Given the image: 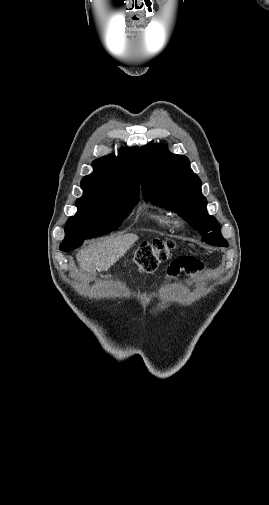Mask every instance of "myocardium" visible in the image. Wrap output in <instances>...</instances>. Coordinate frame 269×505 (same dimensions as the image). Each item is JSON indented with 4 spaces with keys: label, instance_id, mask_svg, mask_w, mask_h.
I'll return each mask as SVG.
<instances>
[{
    "label": "myocardium",
    "instance_id": "1",
    "mask_svg": "<svg viewBox=\"0 0 269 505\" xmlns=\"http://www.w3.org/2000/svg\"><path fill=\"white\" fill-rule=\"evenodd\" d=\"M172 223L175 227L177 228H181L184 226V220L183 218L181 217H175L173 220H172Z\"/></svg>",
    "mask_w": 269,
    "mask_h": 505
}]
</instances>
